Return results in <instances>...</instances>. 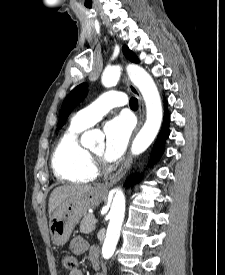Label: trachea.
Returning a JSON list of instances; mask_svg holds the SVG:
<instances>
[{
  "label": "trachea",
  "instance_id": "3493384b",
  "mask_svg": "<svg viewBox=\"0 0 225 275\" xmlns=\"http://www.w3.org/2000/svg\"><path fill=\"white\" fill-rule=\"evenodd\" d=\"M130 107H131V108H138V101H137L136 98H132V99L130 100Z\"/></svg>",
  "mask_w": 225,
  "mask_h": 275
}]
</instances>
